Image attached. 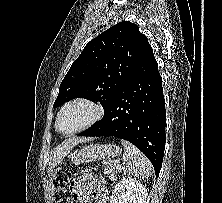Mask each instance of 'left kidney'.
I'll use <instances>...</instances> for the list:
<instances>
[{
    "mask_svg": "<svg viewBox=\"0 0 222 203\" xmlns=\"http://www.w3.org/2000/svg\"><path fill=\"white\" fill-rule=\"evenodd\" d=\"M147 190L136 178L123 177L115 185L110 203H146Z\"/></svg>",
    "mask_w": 222,
    "mask_h": 203,
    "instance_id": "1",
    "label": "left kidney"
}]
</instances>
